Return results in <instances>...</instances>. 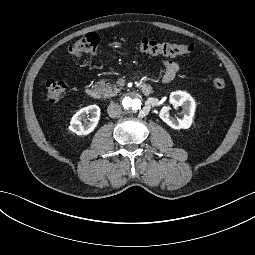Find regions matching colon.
<instances>
[{
    "mask_svg": "<svg viewBox=\"0 0 255 255\" xmlns=\"http://www.w3.org/2000/svg\"><path fill=\"white\" fill-rule=\"evenodd\" d=\"M99 36L96 33H88L72 46L68 48V55L73 58H79L84 54H95L99 46ZM139 50L147 55H164V56H179L190 54L193 47L185 44H175L170 42H160L148 38L142 39L138 44ZM213 87L217 90H222L225 87V81L222 78L213 80ZM67 90L65 82L60 80H48L46 82L47 100L51 104H56L60 101Z\"/></svg>",
    "mask_w": 255,
    "mask_h": 255,
    "instance_id": "colon-1",
    "label": "colon"
}]
</instances>
